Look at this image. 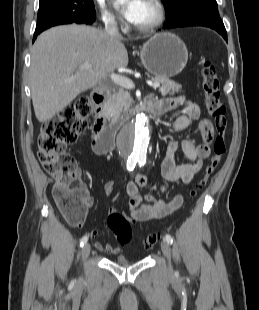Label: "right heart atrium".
I'll return each instance as SVG.
<instances>
[{
    "label": "right heart atrium",
    "instance_id": "1",
    "mask_svg": "<svg viewBox=\"0 0 259 310\" xmlns=\"http://www.w3.org/2000/svg\"><path fill=\"white\" fill-rule=\"evenodd\" d=\"M99 10L101 14V18L103 22L106 24L108 27H115L118 25L119 20L118 18L107 9L105 6L104 2L102 0H99Z\"/></svg>",
    "mask_w": 259,
    "mask_h": 310
}]
</instances>
